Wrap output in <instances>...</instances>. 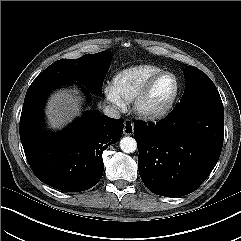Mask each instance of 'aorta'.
Returning <instances> with one entry per match:
<instances>
[{"label":"aorta","mask_w":241,"mask_h":241,"mask_svg":"<svg viewBox=\"0 0 241 241\" xmlns=\"http://www.w3.org/2000/svg\"><path fill=\"white\" fill-rule=\"evenodd\" d=\"M120 148L124 153H133L137 149V142L132 137H124L120 140Z\"/></svg>","instance_id":"obj_1"}]
</instances>
